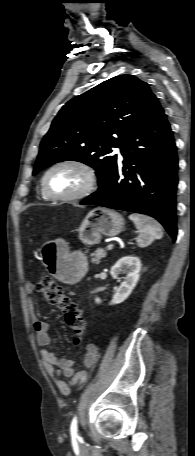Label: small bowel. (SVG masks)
Instances as JSON below:
<instances>
[{
    "mask_svg": "<svg viewBox=\"0 0 195 456\" xmlns=\"http://www.w3.org/2000/svg\"><path fill=\"white\" fill-rule=\"evenodd\" d=\"M25 291L28 295H31L33 291L32 284H26ZM28 307L33 320V330L36 341L41 348L40 354L45 370L53 379L58 390L63 395H69L73 385H81L87 380V372L85 370H76L74 367V360L58 357L48 350V346L51 342L49 325L36 317L34 302L31 297L28 299ZM97 353L98 347L96 344L91 343L87 345L83 356V365L85 368H89L94 364Z\"/></svg>",
    "mask_w": 195,
    "mask_h": 456,
    "instance_id": "c3829d8e",
    "label": "small bowel"
}]
</instances>
